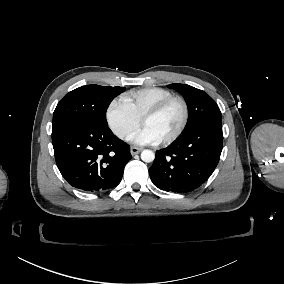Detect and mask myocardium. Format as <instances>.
Returning a JSON list of instances; mask_svg holds the SVG:
<instances>
[{"label":"myocardium","instance_id":"f54148a6","mask_svg":"<svg viewBox=\"0 0 284 284\" xmlns=\"http://www.w3.org/2000/svg\"><path fill=\"white\" fill-rule=\"evenodd\" d=\"M175 102H180L182 105V117L177 129L166 139L159 142L160 145L163 146L168 145L172 143L174 140H176L185 129L189 118V107L187 101L180 96H175V95L171 96L165 99L164 101L160 102L159 104H157L155 107L148 110L141 118L142 121L144 119L156 117L161 113H163L169 106H171Z\"/></svg>","mask_w":284,"mask_h":284}]
</instances>
